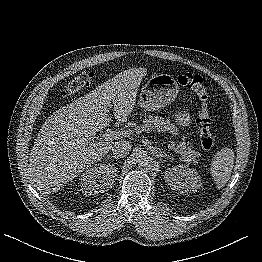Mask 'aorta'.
I'll list each match as a JSON object with an SVG mask.
<instances>
[{"mask_svg": "<svg viewBox=\"0 0 262 262\" xmlns=\"http://www.w3.org/2000/svg\"><path fill=\"white\" fill-rule=\"evenodd\" d=\"M137 159L139 161V164L142 166H146L149 164V157L145 153H138Z\"/></svg>", "mask_w": 262, "mask_h": 262, "instance_id": "obj_1", "label": "aorta"}]
</instances>
